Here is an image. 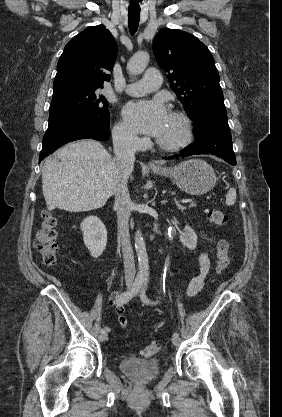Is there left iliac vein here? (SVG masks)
Returning a JSON list of instances; mask_svg holds the SVG:
<instances>
[{"label": "left iliac vein", "mask_w": 282, "mask_h": 417, "mask_svg": "<svg viewBox=\"0 0 282 417\" xmlns=\"http://www.w3.org/2000/svg\"><path fill=\"white\" fill-rule=\"evenodd\" d=\"M172 343H173L175 346H179V345H180V343H181V338H180L179 336H173V337H172Z\"/></svg>", "instance_id": "4c4485c4"}]
</instances>
